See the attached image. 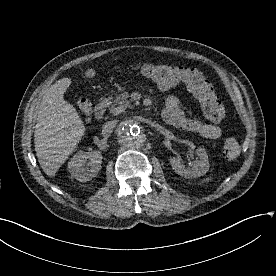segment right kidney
Returning a JSON list of instances; mask_svg holds the SVG:
<instances>
[{
    "label": "right kidney",
    "instance_id": "obj_1",
    "mask_svg": "<svg viewBox=\"0 0 276 276\" xmlns=\"http://www.w3.org/2000/svg\"><path fill=\"white\" fill-rule=\"evenodd\" d=\"M101 163L100 151H79L68 162V170L76 180L87 182L96 177L101 169Z\"/></svg>",
    "mask_w": 276,
    "mask_h": 276
}]
</instances>
